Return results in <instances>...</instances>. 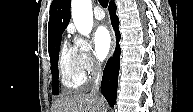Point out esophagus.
Wrapping results in <instances>:
<instances>
[{
    "label": "esophagus",
    "instance_id": "obj_1",
    "mask_svg": "<svg viewBox=\"0 0 193 112\" xmlns=\"http://www.w3.org/2000/svg\"><path fill=\"white\" fill-rule=\"evenodd\" d=\"M115 43H116V36H115V33L113 32V46H112V51H114Z\"/></svg>",
    "mask_w": 193,
    "mask_h": 112
}]
</instances>
